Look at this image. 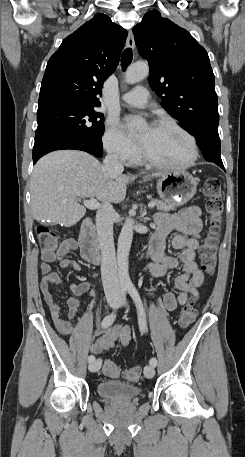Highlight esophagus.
I'll use <instances>...</instances> for the list:
<instances>
[{"label": "esophagus", "mask_w": 245, "mask_h": 457, "mask_svg": "<svg viewBox=\"0 0 245 457\" xmlns=\"http://www.w3.org/2000/svg\"><path fill=\"white\" fill-rule=\"evenodd\" d=\"M126 45H127L128 48H134L135 47L134 35H133V33L131 31L128 33Z\"/></svg>", "instance_id": "34e87169"}]
</instances>
